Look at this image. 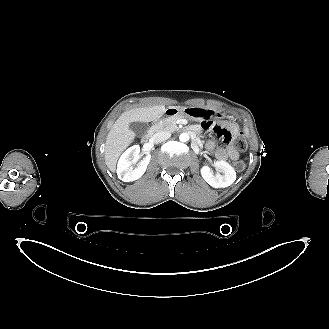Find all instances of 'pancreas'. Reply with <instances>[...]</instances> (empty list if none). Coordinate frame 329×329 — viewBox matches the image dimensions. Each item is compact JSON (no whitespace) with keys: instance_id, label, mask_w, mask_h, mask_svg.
I'll return each mask as SVG.
<instances>
[{"instance_id":"obj_1","label":"pancreas","mask_w":329,"mask_h":329,"mask_svg":"<svg viewBox=\"0 0 329 329\" xmlns=\"http://www.w3.org/2000/svg\"><path fill=\"white\" fill-rule=\"evenodd\" d=\"M182 115H177V116H171L165 119H161L160 121L156 122L155 126L159 130H167L170 132L178 130V127L176 125L177 120L182 119Z\"/></svg>"}]
</instances>
